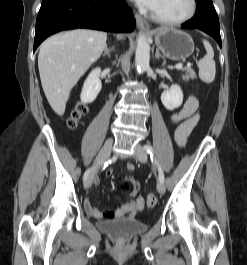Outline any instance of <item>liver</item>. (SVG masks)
<instances>
[{
  "instance_id": "1",
  "label": "liver",
  "mask_w": 247,
  "mask_h": 265,
  "mask_svg": "<svg viewBox=\"0 0 247 265\" xmlns=\"http://www.w3.org/2000/svg\"><path fill=\"white\" fill-rule=\"evenodd\" d=\"M106 40L105 32L76 29L53 35L41 44L38 54L41 84L56 114H64L70 91L99 59Z\"/></svg>"
}]
</instances>
